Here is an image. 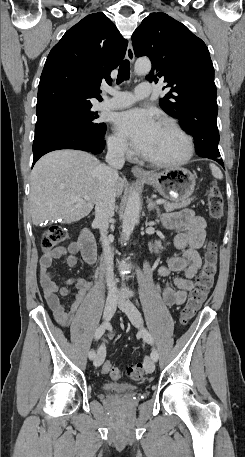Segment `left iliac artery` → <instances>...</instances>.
<instances>
[{
	"mask_svg": "<svg viewBox=\"0 0 245 457\" xmlns=\"http://www.w3.org/2000/svg\"><path fill=\"white\" fill-rule=\"evenodd\" d=\"M143 339L148 343V344H153V338L152 336L150 335V333L148 331H143ZM159 355H158V352L156 349H153L152 352H151V358L154 360V361H157Z\"/></svg>",
	"mask_w": 245,
	"mask_h": 457,
	"instance_id": "44dca946",
	"label": "left iliac artery"
}]
</instances>
